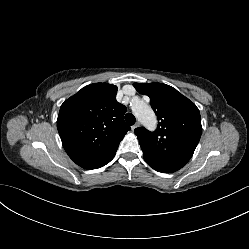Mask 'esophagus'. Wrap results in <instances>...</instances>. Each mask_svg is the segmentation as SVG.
<instances>
[{
    "label": "esophagus",
    "instance_id": "esophagus-1",
    "mask_svg": "<svg viewBox=\"0 0 249 249\" xmlns=\"http://www.w3.org/2000/svg\"><path fill=\"white\" fill-rule=\"evenodd\" d=\"M140 126L139 122H136L133 126H132V130L134 131L137 127Z\"/></svg>",
    "mask_w": 249,
    "mask_h": 249
}]
</instances>
